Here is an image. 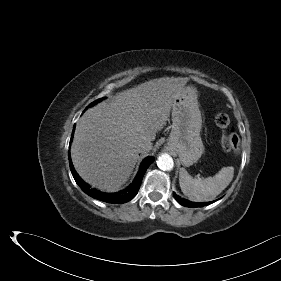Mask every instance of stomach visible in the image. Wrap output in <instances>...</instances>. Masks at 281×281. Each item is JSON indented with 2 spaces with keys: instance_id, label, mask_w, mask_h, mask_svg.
Wrapping results in <instances>:
<instances>
[{
  "instance_id": "0dacf381",
  "label": "stomach",
  "mask_w": 281,
  "mask_h": 281,
  "mask_svg": "<svg viewBox=\"0 0 281 281\" xmlns=\"http://www.w3.org/2000/svg\"><path fill=\"white\" fill-rule=\"evenodd\" d=\"M197 90L186 86L172 105V129L165 146L179 157L183 166L196 163L204 152L200 136L202 116L199 110Z\"/></svg>"
}]
</instances>
